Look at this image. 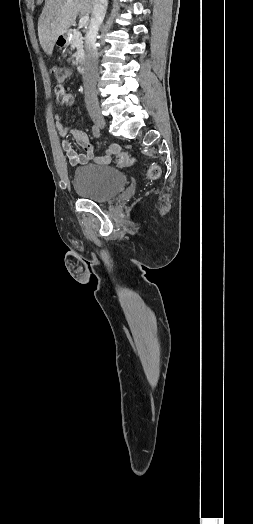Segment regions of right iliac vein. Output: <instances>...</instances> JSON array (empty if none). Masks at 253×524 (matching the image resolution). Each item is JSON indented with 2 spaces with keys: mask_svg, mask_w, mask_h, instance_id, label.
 <instances>
[{
  "mask_svg": "<svg viewBox=\"0 0 253 524\" xmlns=\"http://www.w3.org/2000/svg\"><path fill=\"white\" fill-rule=\"evenodd\" d=\"M89 113H90V116H91L93 122L96 124V126H98L101 129L105 127L106 121H105V119H104V117L101 114L99 109L91 108L89 110Z\"/></svg>",
  "mask_w": 253,
  "mask_h": 524,
  "instance_id": "1",
  "label": "right iliac vein"
}]
</instances>
